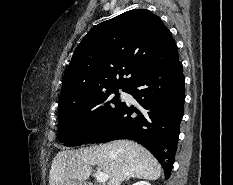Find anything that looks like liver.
I'll list each match as a JSON object with an SVG mask.
<instances>
[{
	"label": "liver",
	"mask_w": 233,
	"mask_h": 185,
	"mask_svg": "<svg viewBox=\"0 0 233 185\" xmlns=\"http://www.w3.org/2000/svg\"><path fill=\"white\" fill-rule=\"evenodd\" d=\"M97 165L108 175V185H120L127 178L157 180L162 168L155 157L131 140H115L80 150H63L53 159L49 185H64L68 180L85 181Z\"/></svg>",
	"instance_id": "obj_1"
}]
</instances>
